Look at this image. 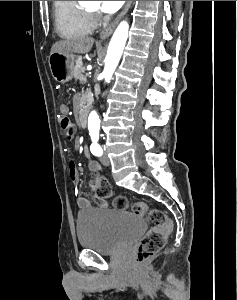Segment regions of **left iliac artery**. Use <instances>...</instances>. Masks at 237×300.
Segmentation results:
<instances>
[{"label":"left iliac artery","instance_id":"44dca946","mask_svg":"<svg viewBox=\"0 0 237 300\" xmlns=\"http://www.w3.org/2000/svg\"><path fill=\"white\" fill-rule=\"evenodd\" d=\"M90 136L92 140V144L90 146V150L92 154L95 156H101L103 154V150L100 147V145L97 143L99 139V135L97 133L90 132Z\"/></svg>","mask_w":237,"mask_h":300}]
</instances>
